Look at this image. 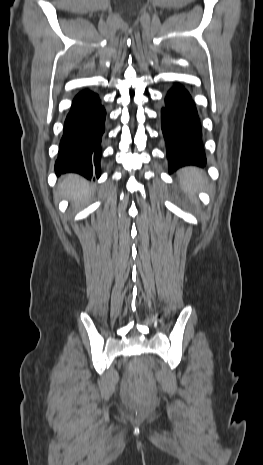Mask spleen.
I'll use <instances>...</instances> for the list:
<instances>
[{
    "label": "spleen",
    "instance_id": "obj_1",
    "mask_svg": "<svg viewBox=\"0 0 263 465\" xmlns=\"http://www.w3.org/2000/svg\"><path fill=\"white\" fill-rule=\"evenodd\" d=\"M179 175L183 190L189 192L191 196L193 195V190L204 181L202 171L193 167L182 169Z\"/></svg>",
    "mask_w": 263,
    "mask_h": 465
}]
</instances>
